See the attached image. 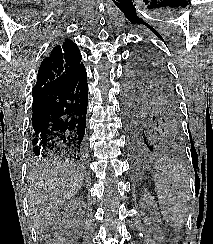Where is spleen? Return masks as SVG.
I'll list each match as a JSON object with an SVG mask.
<instances>
[{"instance_id": "spleen-1", "label": "spleen", "mask_w": 213, "mask_h": 244, "mask_svg": "<svg viewBox=\"0 0 213 244\" xmlns=\"http://www.w3.org/2000/svg\"><path fill=\"white\" fill-rule=\"evenodd\" d=\"M158 202L164 220L174 229H180L188 213L189 179L182 168L172 160L161 158L154 171Z\"/></svg>"}]
</instances>
